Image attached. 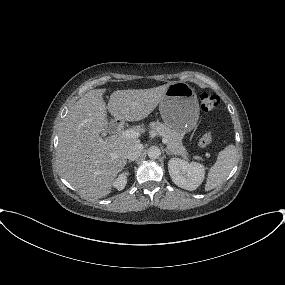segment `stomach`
<instances>
[{
	"mask_svg": "<svg viewBox=\"0 0 285 285\" xmlns=\"http://www.w3.org/2000/svg\"><path fill=\"white\" fill-rule=\"evenodd\" d=\"M159 111L165 125L182 135L191 131L199 118L197 95L185 82L171 83L159 104Z\"/></svg>",
	"mask_w": 285,
	"mask_h": 285,
	"instance_id": "0dacf381",
	"label": "stomach"
}]
</instances>
